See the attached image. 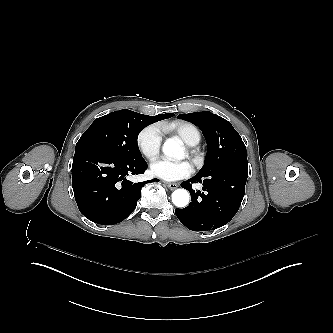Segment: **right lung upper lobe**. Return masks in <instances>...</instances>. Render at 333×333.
Wrapping results in <instances>:
<instances>
[{"instance_id":"obj_1","label":"right lung upper lobe","mask_w":333,"mask_h":333,"mask_svg":"<svg viewBox=\"0 0 333 333\" xmlns=\"http://www.w3.org/2000/svg\"><path fill=\"white\" fill-rule=\"evenodd\" d=\"M172 116H174L173 113L159 114V115H156V116H149V119H151V121H153V123H154L156 121H159V120H162V119H166V118H170Z\"/></svg>"}]
</instances>
